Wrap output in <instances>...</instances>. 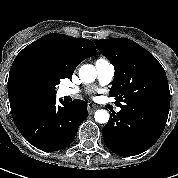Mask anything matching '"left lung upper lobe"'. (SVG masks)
Masks as SVG:
<instances>
[{"mask_svg": "<svg viewBox=\"0 0 178 178\" xmlns=\"http://www.w3.org/2000/svg\"><path fill=\"white\" fill-rule=\"evenodd\" d=\"M95 44L114 65L115 76L109 95L115 97L119 106L166 122L170 91L166 73L158 60L127 38L95 40Z\"/></svg>", "mask_w": 178, "mask_h": 178, "instance_id": "left-lung-upper-lobe-1", "label": "left lung upper lobe"}]
</instances>
